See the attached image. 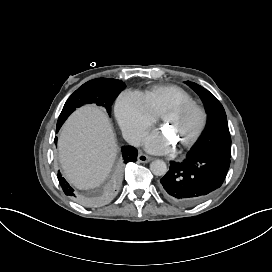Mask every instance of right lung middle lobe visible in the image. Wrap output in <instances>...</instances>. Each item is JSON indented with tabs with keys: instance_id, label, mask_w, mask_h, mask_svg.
I'll return each instance as SVG.
<instances>
[{
	"instance_id": "right-lung-middle-lobe-1",
	"label": "right lung middle lobe",
	"mask_w": 272,
	"mask_h": 272,
	"mask_svg": "<svg viewBox=\"0 0 272 272\" xmlns=\"http://www.w3.org/2000/svg\"><path fill=\"white\" fill-rule=\"evenodd\" d=\"M125 84L113 78H97L79 87L66 101L58 118L57 125L61 126L67 117L78 107L95 103L106 108L111 114V105Z\"/></svg>"
}]
</instances>
